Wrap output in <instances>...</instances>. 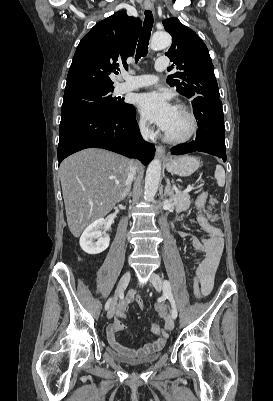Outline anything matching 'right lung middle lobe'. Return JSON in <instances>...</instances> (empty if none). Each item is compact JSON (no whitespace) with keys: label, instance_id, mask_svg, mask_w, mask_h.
<instances>
[{"label":"right lung middle lobe","instance_id":"1","mask_svg":"<svg viewBox=\"0 0 273 401\" xmlns=\"http://www.w3.org/2000/svg\"><path fill=\"white\" fill-rule=\"evenodd\" d=\"M110 90L88 91L64 96L61 115L77 110L119 112L124 106L120 99L112 98Z\"/></svg>","mask_w":273,"mask_h":401}]
</instances>
